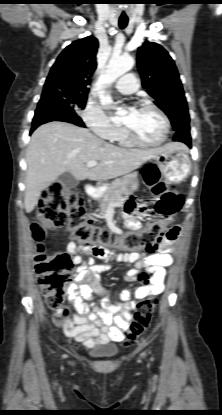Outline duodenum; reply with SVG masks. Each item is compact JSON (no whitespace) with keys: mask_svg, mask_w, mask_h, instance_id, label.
<instances>
[{"mask_svg":"<svg viewBox=\"0 0 222 415\" xmlns=\"http://www.w3.org/2000/svg\"><path fill=\"white\" fill-rule=\"evenodd\" d=\"M86 193L88 195V197L92 198L95 195V188L93 186H88L86 188Z\"/></svg>","mask_w":222,"mask_h":415,"instance_id":"410a0bca","label":"duodenum"}]
</instances>
